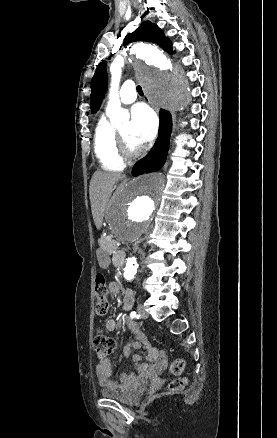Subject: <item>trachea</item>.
Returning a JSON list of instances; mask_svg holds the SVG:
<instances>
[{"instance_id": "obj_1", "label": "trachea", "mask_w": 277, "mask_h": 438, "mask_svg": "<svg viewBox=\"0 0 277 438\" xmlns=\"http://www.w3.org/2000/svg\"><path fill=\"white\" fill-rule=\"evenodd\" d=\"M137 92L139 93V95H143V90L139 85L137 86Z\"/></svg>"}]
</instances>
